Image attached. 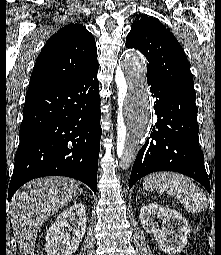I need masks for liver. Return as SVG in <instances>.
<instances>
[{"label": "liver", "mask_w": 221, "mask_h": 255, "mask_svg": "<svg viewBox=\"0 0 221 255\" xmlns=\"http://www.w3.org/2000/svg\"><path fill=\"white\" fill-rule=\"evenodd\" d=\"M81 192L72 178L51 176L32 180L10 202L11 222L21 255H34L42 224Z\"/></svg>", "instance_id": "1"}]
</instances>
